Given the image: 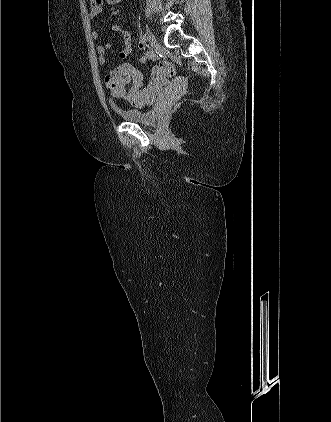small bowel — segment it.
<instances>
[{"label": "small bowel", "instance_id": "obj_1", "mask_svg": "<svg viewBox=\"0 0 331 422\" xmlns=\"http://www.w3.org/2000/svg\"><path fill=\"white\" fill-rule=\"evenodd\" d=\"M122 2V0H90V13L89 16L91 19H94L96 16L101 14L108 6L111 5H118ZM111 32H120L124 38V49L119 52V57L121 59H126L130 55L133 54V43H132V34L133 28L127 29L119 25H113L110 27ZM91 36L93 39L99 38V32L93 30L91 32ZM111 48V43L106 42L104 44H97L96 51L98 54V61L99 64L104 66L106 64V51ZM138 48L142 51L138 60L141 63L146 62L151 55V52L146 49V44L143 41H140L138 44ZM105 83L109 88L110 85V78L109 75L105 76ZM166 82L165 80L157 79L154 74L152 73V78L147 85H143L142 78L134 82L133 89L136 93L140 96L146 97L149 99L148 103H141L134 98H129L133 104L136 105H143L152 103L155 98L163 91Z\"/></svg>", "mask_w": 331, "mask_h": 422}]
</instances>
